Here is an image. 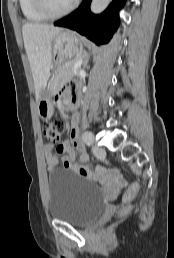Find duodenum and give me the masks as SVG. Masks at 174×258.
Masks as SVG:
<instances>
[{"label": "duodenum", "instance_id": "1", "mask_svg": "<svg viewBox=\"0 0 174 258\" xmlns=\"http://www.w3.org/2000/svg\"><path fill=\"white\" fill-rule=\"evenodd\" d=\"M79 103V100L77 97H71L69 100V106L71 107V109H74Z\"/></svg>", "mask_w": 174, "mask_h": 258}]
</instances>
